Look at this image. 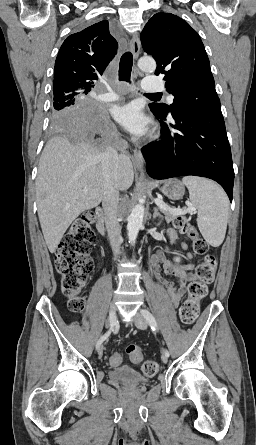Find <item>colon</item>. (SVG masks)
<instances>
[{
	"label": "colon",
	"instance_id": "1",
	"mask_svg": "<svg viewBox=\"0 0 256 445\" xmlns=\"http://www.w3.org/2000/svg\"><path fill=\"white\" fill-rule=\"evenodd\" d=\"M93 221L94 215L91 212L78 216L61 239L55 253L61 292L68 298V308L72 314H78L84 308L81 290L93 270V262L89 257L95 241V235L91 229ZM175 224L182 233L193 239L195 254L203 256L196 270V279L188 285L187 298L179 309L182 324L191 325L199 315L201 300L207 296L209 286L214 281L217 260L213 254L208 253L209 245L198 237L195 228L185 217H177ZM127 353L133 363H139L142 360L143 353L135 345H130ZM121 361L122 356L118 353L110 356V362L113 365H118ZM157 370L158 365L154 361H146L142 366L143 373L148 377L155 375Z\"/></svg>",
	"mask_w": 256,
	"mask_h": 445
}]
</instances>
